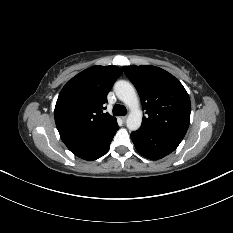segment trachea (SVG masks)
I'll return each instance as SVG.
<instances>
[{
	"label": "trachea",
	"instance_id": "trachea-1",
	"mask_svg": "<svg viewBox=\"0 0 233 233\" xmlns=\"http://www.w3.org/2000/svg\"><path fill=\"white\" fill-rule=\"evenodd\" d=\"M126 113H127V110H126L125 106H123V105L117 104L113 107V114L115 116H125Z\"/></svg>",
	"mask_w": 233,
	"mask_h": 233
}]
</instances>
